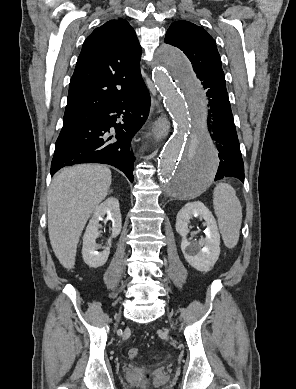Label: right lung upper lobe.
Returning <instances> with one entry per match:
<instances>
[{
	"mask_svg": "<svg viewBox=\"0 0 296 389\" xmlns=\"http://www.w3.org/2000/svg\"><path fill=\"white\" fill-rule=\"evenodd\" d=\"M142 49L134 29L110 20L84 41L69 84L64 120H77L114 105L140 75Z\"/></svg>",
	"mask_w": 296,
	"mask_h": 389,
	"instance_id": "cb5924a9",
	"label": "right lung upper lobe"
}]
</instances>
